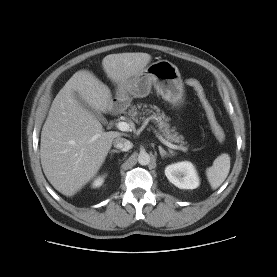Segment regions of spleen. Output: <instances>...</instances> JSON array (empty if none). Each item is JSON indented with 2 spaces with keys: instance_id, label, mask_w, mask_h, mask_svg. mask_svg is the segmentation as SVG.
<instances>
[{
  "instance_id": "spleen-1",
  "label": "spleen",
  "mask_w": 277,
  "mask_h": 277,
  "mask_svg": "<svg viewBox=\"0 0 277 277\" xmlns=\"http://www.w3.org/2000/svg\"><path fill=\"white\" fill-rule=\"evenodd\" d=\"M230 171V156L219 155L213 165L206 169V176L212 189H217L227 178Z\"/></svg>"
}]
</instances>
